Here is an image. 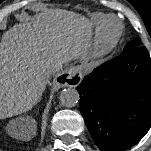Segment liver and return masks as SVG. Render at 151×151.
<instances>
[{"label": "liver", "mask_w": 151, "mask_h": 151, "mask_svg": "<svg viewBox=\"0 0 151 151\" xmlns=\"http://www.w3.org/2000/svg\"><path fill=\"white\" fill-rule=\"evenodd\" d=\"M90 21L71 11L49 10L33 23L16 24L0 43V119L21 114L40 100L54 65L87 49ZM36 123L25 138L36 134Z\"/></svg>", "instance_id": "6515ba94"}]
</instances>
